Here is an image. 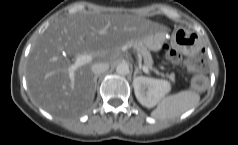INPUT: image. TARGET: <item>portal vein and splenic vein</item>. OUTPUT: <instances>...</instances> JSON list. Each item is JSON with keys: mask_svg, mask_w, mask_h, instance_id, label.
Segmentation results:
<instances>
[{"mask_svg": "<svg viewBox=\"0 0 238 145\" xmlns=\"http://www.w3.org/2000/svg\"><path fill=\"white\" fill-rule=\"evenodd\" d=\"M93 59V57L91 55H79L76 57V60L74 62V64H72L69 68V78L71 81V87L72 89L74 88V82H75V76H74V72L77 68H79L80 66H83L89 62H91ZM143 71L145 73L149 72V69L147 66L143 65L142 67Z\"/></svg>", "mask_w": 238, "mask_h": 145, "instance_id": "18ae733b", "label": "portal vein and splenic vein"}]
</instances>
